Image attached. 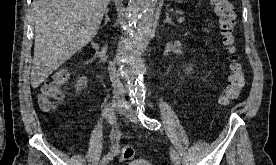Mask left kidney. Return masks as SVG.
Segmentation results:
<instances>
[{
    "label": "left kidney",
    "mask_w": 276,
    "mask_h": 165,
    "mask_svg": "<svg viewBox=\"0 0 276 165\" xmlns=\"http://www.w3.org/2000/svg\"><path fill=\"white\" fill-rule=\"evenodd\" d=\"M186 70H187L188 73H190V72L193 70L192 65L189 64V65L186 67Z\"/></svg>",
    "instance_id": "1"
}]
</instances>
